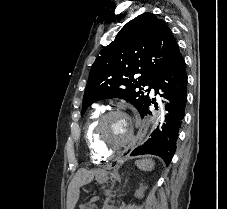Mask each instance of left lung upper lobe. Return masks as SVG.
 <instances>
[{"instance_id": "1", "label": "left lung upper lobe", "mask_w": 227, "mask_h": 209, "mask_svg": "<svg viewBox=\"0 0 227 209\" xmlns=\"http://www.w3.org/2000/svg\"><path fill=\"white\" fill-rule=\"evenodd\" d=\"M179 53L170 28L155 14L146 12L129 21L92 65L81 115L93 102L115 97L130 102L141 113L150 101V89H156ZM141 86L149 88L141 91Z\"/></svg>"}]
</instances>
